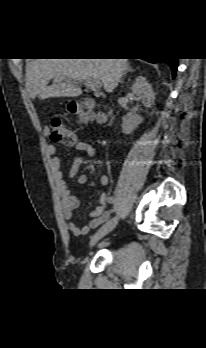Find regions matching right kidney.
Segmentation results:
<instances>
[{"mask_svg": "<svg viewBox=\"0 0 206 348\" xmlns=\"http://www.w3.org/2000/svg\"><path fill=\"white\" fill-rule=\"evenodd\" d=\"M131 90L141 99L145 107L150 108L154 105L155 94L151 85L147 82L145 77H137L131 87ZM142 121L143 118L140 115L136 114V112L132 111L127 113L122 120L123 133L131 134Z\"/></svg>", "mask_w": 206, "mask_h": 348, "instance_id": "right-kidney-1", "label": "right kidney"}]
</instances>
